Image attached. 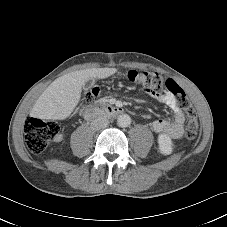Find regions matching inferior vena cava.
<instances>
[{
  "instance_id": "602c4592",
  "label": "inferior vena cava",
  "mask_w": 227,
  "mask_h": 227,
  "mask_svg": "<svg viewBox=\"0 0 227 227\" xmlns=\"http://www.w3.org/2000/svg\"><path fill=\"white\" fill-rule=\"evenodd\" d=\"M109 124V120L106 117H97L91 122V128L93 130H100L107 127Z\"/></svg>"
}]
</instances>
